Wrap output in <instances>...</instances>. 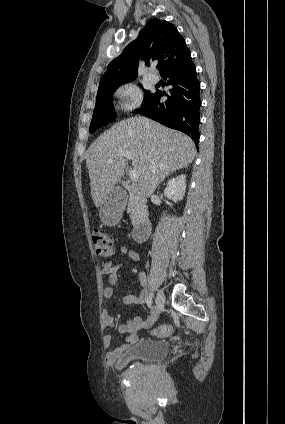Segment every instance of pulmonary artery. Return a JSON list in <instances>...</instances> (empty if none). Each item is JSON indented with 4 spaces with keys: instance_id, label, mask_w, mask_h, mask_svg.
<instances>
[{
    "instance_id": "pulmonary-artery-1",
    "label": "pulmonary artery",
    "mask_w": 285,
    "mask_h": 424,
    "mask_svg": "<svg viewBox=\"0 0 285 424\" xmlns=\"http://www.w3.org/2000/svg\"><path fill=\"white\" fill-rule=\"evenodd\" d=\"M150 81L155 84L159 81V77L156 74H151Z\"/></svg>"
}]
</instances>
